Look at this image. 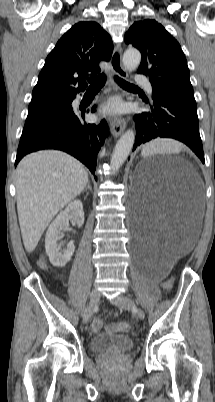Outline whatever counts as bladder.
I'll return each instance as SVG.
<instances>
[{"label":"bladder","instance_id":"1","mask_svg":"<svg viewBox=\"0 0 215 402\" xmlns=\"http://www.w3.org/2000/svg\"><path fill=\"white\" fill-rule=\"evenodd\" d=\"M133 340L123 334L105 332L91 338L90 348L98 354L123 355L133 349Z\"/></svg>","mask_w":215,"mask_h":402}]
</instances>
